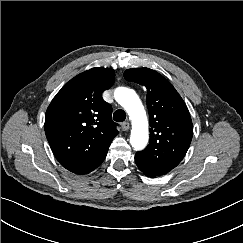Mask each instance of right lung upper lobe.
I'll use <instances>...</instances> for the list:
<instances>
[{"label": "right lung upper lobe", "instance_id": "right-lung-upper-lobe-1", "mask_svg": "<svg viewBox=\"0 0 243 243\" xmlns=\"http://www.w3.org/2000/svg\"><path fill=\"white\" fill-rule=\"evenodd\" d=\"M114 80L112 68L82 72L61 88L47 108V140L59 163L75 174L96 169L118 134L112 107L102 99Z\"/></svg>", "mask_w": 243, "mask_h": 243}]
</instances>
